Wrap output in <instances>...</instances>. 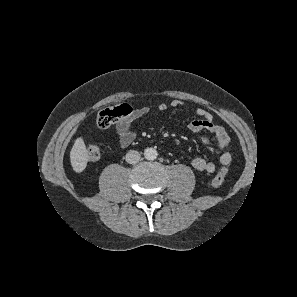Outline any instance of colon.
I'll list each match as a JSON object with an SVG mask.
<instances>
[{"mask_svg": "<svg viewBox=\"0 0 297 297\" xmlns=\"http://www.w3.org/2000/svg\"><path fill=\"white\" fill-rule=\"evenodd\" d=\"M132 108L128 104H121L109 107L100 111L97 117V125L101 129H107L120 118L129 116L132 113ZM86 154L90 161H95L100 157V149L95 144H90L86 148ZM227 166H222L218 173L212 178L211 185L215 188L220 187L227 175Z\"/></svg>", "mask_w": 297, "mask_h": 297, "instance_id": "colon-1", "label": "colon"}]
</instances>
